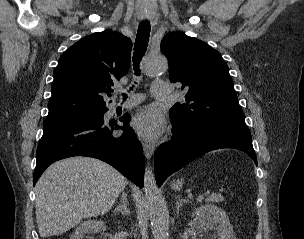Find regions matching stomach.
<instances>
[{
	"label": "stomach",
	"mask_w": 304,
	"mask_h": 239,
	"mask_svg": "<svg viewBox=\"0 0 304 239\" xmlns=\"http://www.w3.org/2000/svg\"><path fill=\"white\" fill-rule=\"evenodd\" d=\"M181 186H182V182H181V181H177L176 183L173 184V187H174L175 189H180Z\"/></svg>",
	"instance_id": "1"
}]
</instances>
